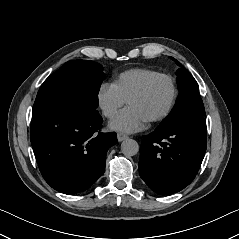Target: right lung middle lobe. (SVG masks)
Returning <instances> with one entry per match:
<instances>
[{
  "instance_id": "dd1d6c3e",
  "label": "right lung middle lobe",
  "mask_w": 239,
  "mask_h": 239,
  "mask_svg": "<svg viewBox=\"0 0 239 239\" xmlns=\"http://www.w3.org/2000/svg\"><path fill=\"white\" fill-rule=\"evenodd\" d=\"M105 77L102 66L90 60L66 62L40 87L33 107V118L61 102H78L98 107V93Z\"/></svg>"
}]
</instances>
